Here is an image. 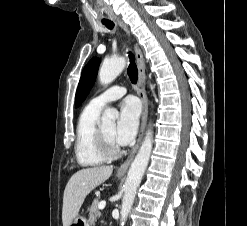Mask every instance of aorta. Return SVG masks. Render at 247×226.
I'll use <instances>...</instances> for the list:
<instances>
[{
  "instance_id": "obj_1",
  "label": "aorta",
  "mask_w": 247,
  "mask_h": 226,
  "mask_svg": "<svg viewBox=\"0 0 247 226\" xmlns=\"http://www.w3.org/2000/svg\"><path fill=\"white\" fill-rule=\"evenodd\" d=\"M126 65L124 58H115L105 60L99 71V80L103 85L110 84L123 71ZM118 112L115 109L108 108L104 111L101 123L102 125H113ZM153 132L148 130L141 144V147L133 160L127 174L124 185V195L122 198L120 224L124 226L127 216L134 203L136 190L140 185L141 179L148 165L152 151Z\"/></svg>"
}]
</instances>
